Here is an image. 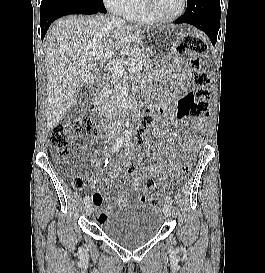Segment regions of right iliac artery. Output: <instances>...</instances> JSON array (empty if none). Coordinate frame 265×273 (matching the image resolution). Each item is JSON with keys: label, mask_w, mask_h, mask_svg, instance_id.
I'll use <instances>...</instances> for the list:
<instances>
[{"label": "right iliac artery", "mask_w": 265, "mask_h": 273, "mask_svg": "<svg viewBox=\"0 0 265 273\" xmlns=\"http://www.w3.org/2000/svg\"><path fill=\"white\" fill-rule=\"evenodd\" d=\"M121 144H122V139L121 138H118L116 143L112 146V152H116L119 150V148L121 147ZM90 197L87 196L84 198V203L87 204V203H90Z\"/></svg>", "instance_id": "right-iliac-artery-1"}]
</instances>
